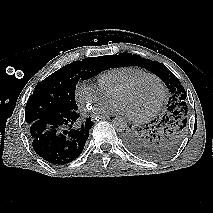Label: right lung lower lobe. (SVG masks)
Listing matches in <instances>:
<instances>
[{
	"label": "right lung lower lobe",
	"instance_id": "1",
	"mask_svg": "<svg viewBox=\"0 0 213 213\" xmlns=\"http://www.w3.org/2000/svg\"><path fill=\"white\" fill-rule=\"evenodd\" d=\"M94 123L82 121L77 110L64 111L33 122L29 134L33 149L54 165L69 163L81 154Z\"/></svg>",
	"mask_w": 213,
	"mask_h": 213
}]
</instances>
